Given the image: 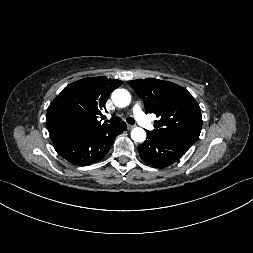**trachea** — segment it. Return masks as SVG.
<instances>
[{
	"mask_svg": "<svg viewBox=\"0 0 253 253\" xmlns=\"http://www.w3.org/2000/svg\"><path fill=\"white\" fill-rule=\"evenodd\" d=\"M119 121H120V118L116 116V117L111 118L108 122L111 123V124H116ZM126 121H127V123H129L131 125H133L135 123V120L133 118H131V117H128L126 119Z\"/></svg>",
	"mask_w": 253,
	"mask_h": 253,
	"instance_id": "trachea-1",
	"label": "trachea"
}]
</instances>
